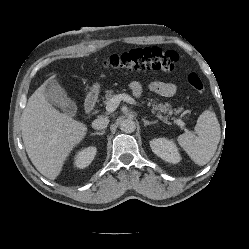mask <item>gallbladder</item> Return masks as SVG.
Here are the masks:
<instances>
[{"label": "gallbladder", "mask_w": 249, "mask_h": 249, "mask_svg": "<svg viewBox=\"0 0 249 249\" xmlns=\"http://www.w3.org/2000/svg\"><path fill=\"white\" fill-rule=\"evenodd\" d=\"M44 96L49 103L62 109L65 114L75 116L77 112L76 103L67 96L65 90L56 80L47 81L44 86Z\"/></svg>", "instance_id": "bac80fb5"}]
</instances>
